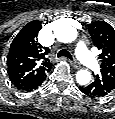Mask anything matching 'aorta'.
I'll return each instance as SVG.
<instances>
[{
  "mask_svg": "<svg viewBox=\"0 0 115 119\" xmlns=\"http://www.w3.org/2000/svg\"><path fill=\"white\" fill-rule=\"evenodd\" d=\"M55 37L63 43H70L76 40L77 30L69 23H60L54 30ZM76 80L80 85H86L91 80V73L87 69L79 70L76 74Z\"/></svg>",
  "mask_w": 115,
  "mask_h": 119,
  "instance_id": "1",
  "label": "aorta"
}]
</instances>
